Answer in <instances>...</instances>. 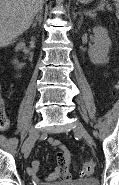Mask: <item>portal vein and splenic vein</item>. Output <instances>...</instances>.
Wrapping results in <instances>:
<instances>
[{
  "mask_svg": "<svg viewBox=\"0 0 119 185\" xmlns=\"http://www.w3.org/2000/svg\"><path fill=\"white\" fill-rule=\"evenodd\" d=\"M100 8H102V7H99L98 9H100ZM95 9H93V10H89V11H87V12H85V14L86 15H90V14H92V13H95Z\"/></svg>",
  "mask_w": 119,
  "mask_h": 185,
  "instance_id": "portal-vein-and-splenic-vein-1",
  "label": "portal vein and splenic vein"
}]
</instances>
